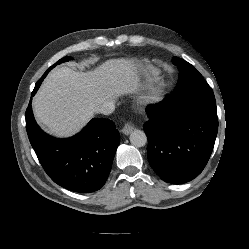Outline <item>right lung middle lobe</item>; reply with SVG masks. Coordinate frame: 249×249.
Listing matches in <instances>:
<instances>
[{"mask_svg": "<svg viewBox=\"0 0 249 249\" xmlns=\"http://www.w3.org/2000/svg\"><path fill=\"white\" fill-rule=\"evenodd\" d=\"M70 59H72L70 56H66L62 59H60L58 62H56L53 66H51L48 71H50L53 67H55L57 64H60L62 62H66V61H69ZM48 71L44 73V75L42 76L41 79H44L46 77V75L48 74Z\"/></svg>", "mask_w": 249, "mask_h": 249, "instance_id": "right-lung-middle-lobe-1", "label": "right lung middle lobe"}]
</instances>
